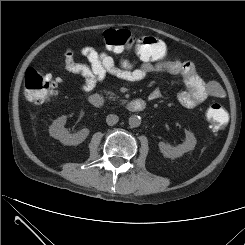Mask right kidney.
<instances>
[{
	"label": "right kidney",
	"mask_w": 245,
	"mask_h": 245,
	"mask_svg": "<svg viewBox=\"0 0 245 245\" xmlns=\"http://www.w3.org/2000/svg\"><path fill=\"white\" fill-rule=\"evenodd\" d=\"M67 117L61 116L54 120L53 124L49 128L50 135L59 140L64 145H78L82 143L86 137L89 135V130L87 128L81 131L70 134L64 125L66 123Z\"/></svg>",
	"instance_id": "obj_1"
}]
</instances>
